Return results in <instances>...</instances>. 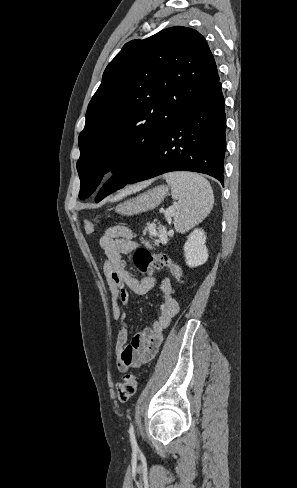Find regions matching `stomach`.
Segmentation results:
<instances>
[{"label": "stomach", "instance_id": "1", "mask_svg": "<svg viewBox=\"0 0 297 488\" xmlns=\"http://www.w3.org/2000/svg\"><path fill=\"white\" fill-rule=\"evenodd\" d=\"M168 194V187L160 185L135 198L126 200L115 207V211L123 216H133L156 208Z\"/></svg>", "mask_w": 297, "mask_h": 488}]
</instances>
